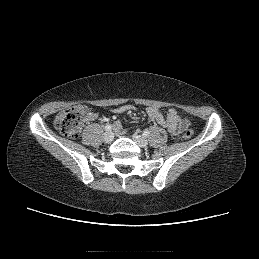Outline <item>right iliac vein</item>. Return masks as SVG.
Instances as JSON below:
<instances>
[{
    "label": "right iliac vein",
    "mask_w": 259,
    "mask_h": 259,
    "mask_svg": "<svg viewBox=\"0 0 259 259\" xmlns=\"http://www.w3.org/2000/svg\"><path fill=\"white\" fill-rule=\"evenodd\" d=\"M114 139V135L111 131H106L103 135V140L105 143H111Z\"/></svg>",
    "instance_id": "right-iliac-vein-1"
}]
</instances>
